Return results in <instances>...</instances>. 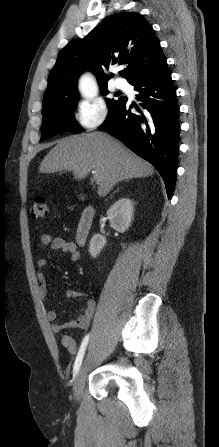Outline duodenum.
Masks as SVG:
<instances>
[{
	"label": "duodenum",
	"instance_id": "410a0bca",
	"mask_svg": "<svg viewBox=\"0 0 219 447\" xmlns=\"http://www.w3.org/2000/svg\"><path fill=\"white\" fill-rule=\"evenodd\" d=\"M95 213V207L92 205L87 206L82 211L76 229V241L78 244L83 245L88 239L93 226Z\"/></svg>",
	"mask_w": 219,
	"mask_h": 447
}]
</instances>
